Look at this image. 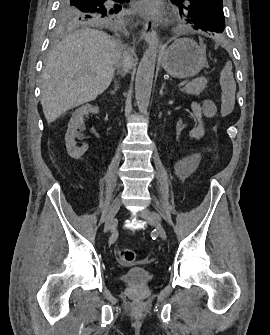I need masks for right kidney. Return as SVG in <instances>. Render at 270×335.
Masks as SVG:
<instances>
[{
	"mask_svg": "<svg viewBox=\"0 0 270 335\" xmlns=\"http://www.w3.org/2000/svg\"><path fill=\"white\" fill-rule=\"evenodd\" d=\"M98 112L99 108H97V106H90V104H85V106H81V108L75 110L65 134L67 152L74 160H79V158L85 154L86 150H88V144H84L82 148H77L74 140L76 136H79L77 130H79L81 126H84V116H87V114H98Z\"/></svg>",
	"mask_w": 270,
	"mask_h": 335,
	"instance_id": "right-kidney-1",
	"label": "right kidney"
}]
</instances>
